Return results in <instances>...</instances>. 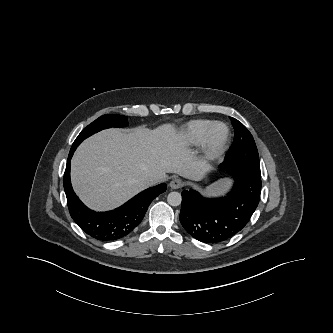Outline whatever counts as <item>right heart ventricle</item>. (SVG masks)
<instances>
[{
    "label": "right heart ventricle",
    "mask_w": 333,
    "mask_h": 333,
    "mask_svg": "<svg viewBox=\"0 0 333 333\" xmlns=\"http://www.w3.org/2000/svg\"><path fill=\"white\" fill-rule=\"evenodd\" d=\"M212 124V121L206 119L191 120L182 127L181 135L190 144H200Z\"/></svg>",
    "instance_id": "right-heart-ventricle-1"
}]
</instances>
